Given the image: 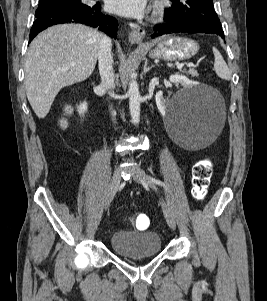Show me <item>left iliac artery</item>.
Segmentation results:
<instances>
[{
	"instance_id": "44dca946",
	"label": "left iliac artery",
	"mask_w": 267,
	"mask_h": 301,
	"mask_svg": "<svg viewBox=\"0 0 267 301\" xmlns=\"http://www.w3.org/2000/svg\"><path fill=\"white\" fill-rule=\"evenodd\" d=\"M150 179H151L154 183H156L157 185L166 187V185H165L162 181H160V180H158V179H155V178H153V177H150Z\"/></svg>"
}]
</instances>
